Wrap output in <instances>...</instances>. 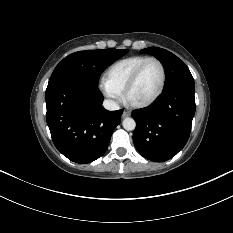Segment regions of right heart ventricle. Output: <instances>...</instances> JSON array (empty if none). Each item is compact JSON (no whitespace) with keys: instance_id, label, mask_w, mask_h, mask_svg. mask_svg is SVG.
<instances>
[{"instance_id":"obj_1","label":"right heart ventricle","mask_w":233,"mask_h":233,"mask_svg":"<svg viewBox=\"0 0 233 233\" xmlns=\"http://www.w3.org/2000/svg\"><path fill=\"white\" fill-rule=\"evenodd\" d=\"M147 58V56L136 55L113 63L107 69L104 81L122 93L132 73Z\"/></svg>"}]
</instances>
